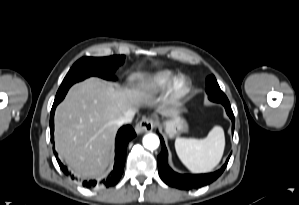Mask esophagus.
<instances>
[{
  "mask_svg": "<svg viewBox=\"0 0 299 205\" xmlns=\"http://www.w3.org/2000/svg\"><path fill=\"white\" fill-rule=\"evenodd\" d=\"M154 126H155V123L153 120L144 118L136 124L135 131L137 134H140L143 132H150L153 130Z\"/></svg>",
  "mask_w": 299,
  "mask_h": 205,
  "instance_id": "esophagus-1",
  "label": "esophagus"
}]
</instances>
